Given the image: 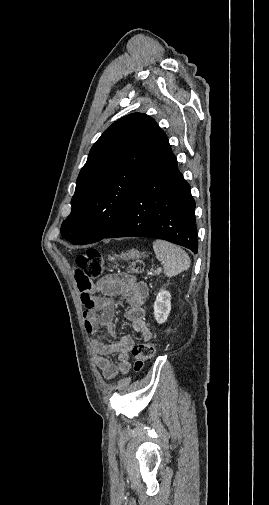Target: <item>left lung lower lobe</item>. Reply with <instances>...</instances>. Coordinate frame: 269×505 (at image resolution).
I'll return each instance as SVG.
<instances>
[{
    "mask_svg": "<svg viewBox=\"0 0 269 505\" xmlns=\"http://www.w3.org/2000/svg\"><path fill=\"white\" fill-rule=\"evenodd\" d=\"M195 201L161 130L127 206L104 238L164 239L197 253Z\"/></svg>",
    "mask_w": 269,
    "mask_h": 505,
    "instance_id": "left-lung-lower-lobe-1",
    "label": "left lung lower lobe"
}]
</instances>
